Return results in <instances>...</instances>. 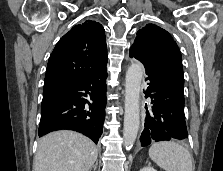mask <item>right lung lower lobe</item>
Listing matches in <instances>:
<instances>
[{
  "label": "right lung lower lobe",
  "mask_w": 223,
  "mask_h": 171,
  "mask_svg": "<svg viewBox=\"0 0 223 171\" xmlns=\"http://www.w3.org/2000/svg\"><path fill=\"white\" fill-rule=\"evenodd\" d=\"M106 78L104 68L79 83L43 92L38 135L69 129L97 143L105 119Z\"/></svg>",
  "instance_id": "98d812e1"
}]
</instances>
